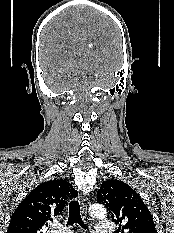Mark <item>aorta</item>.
Segmentation results:
<instances>
[{
	"label": "aorta",
	"instance_id": "1",
	"mask_svg": "<svg viewBox=\"0 0 174 233\" xmlns=\"http://www.w3.org/2000/svg\"><path fill=\"white\" fill-rule=\"evenodd\" d=\"M89 213L92 217L97 219H104L107 214V210L103 205L100 204H92L89 207Z\"/></svg>",
	"mask_w": 174,
	"mask_h": 233
}]
</instances>
